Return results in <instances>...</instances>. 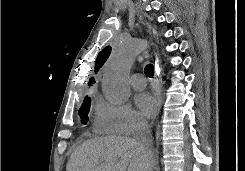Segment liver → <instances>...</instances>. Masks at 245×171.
<instances>
[{
	"instance_id": "1",
	"label": "liver",
	"mask_w": 245,
	"mask_h": 171,
	"mask_svg": "<svg viewBox=\"0 0 245 171\" xmlns=\"http://www.w3.org/2000/svg\"><path fill=\"white\" fill-rule=\"evenodd\" d=\"M154 159L144 156L134 139L100 137L83 142L71 154L67 171H153Z\"/></svg>"
}]
</instances>
